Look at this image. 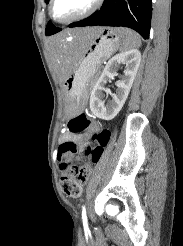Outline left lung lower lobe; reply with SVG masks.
Masks as SVG:
<instances>
[{
    "instance_id": "0a47b994",
    "label": "left lung lower lobe",
    "mask_w": 183,
    "mask_h": 246,
    "mask_svg": "<svg viewBox=\"0 0 183 246\" xmlns=\"http://www.w3.org/2000/svg\"><path fill=\"white\" fill-rule=\"evenodd\" d=\"M152 16V0H104L99 11L69 27L122 26L149 38Z\"/></svg>"
}]
</instances>
